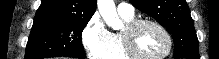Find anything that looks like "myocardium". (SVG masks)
<instances>
[{
    "label": "myocardium",
    "mask_w": 219,
    "mask_h": 59,
    "mask_svg": "<svg viewBox=\"0 0 219 59\" xmlns=\"http://www.w3.org/2000/svg\"><path fill=\"white\" fill-rule=\"evenodd\" d=\"M144 25H152L156 27L165 36L167 40V49L163 54L156 57H146L139 54L137 51L135 47V35L139 28ZM121 37L124 51L131 59H166L170 56L173 49V38L168 29L160 22L152 19H136L127 23L121 32Z\"/></svg>",
    "instance_id": "obj_1"
}]
</instances>
